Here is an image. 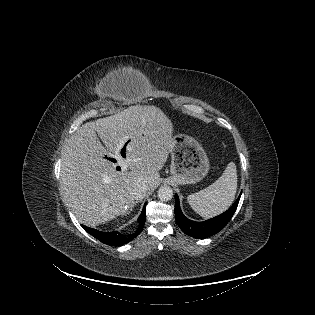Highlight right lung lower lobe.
<instances>
[{"label": "right lung lower lobe", "instance_id": "1", "mask_svg": "<svg viewBox=\"0 0 315 315\" xmlns=\"http://www.w3.org/2000/svg\"><path fill=\"white\" fill-rule=\"evenodd\" d=\"M145 220H146V204L143 206V210H142V212L138 218L139 227L134 234L125 236V235H122L121 233H119L117 231L101 232V231H98V230H95L93 228H89V227H86L83 225H82V227L89 234H91L92 236L97 238L102 243H105V244L110 245V246H121V245H124V244L130 242L132 239H134L136 236H138L141 233V231L143 230V227H144Z\"/></svg>", "mask_w": 315, "mask_h": 315}]
</instances>
